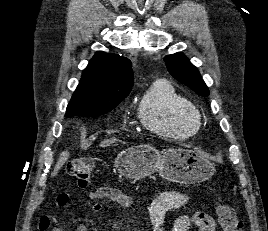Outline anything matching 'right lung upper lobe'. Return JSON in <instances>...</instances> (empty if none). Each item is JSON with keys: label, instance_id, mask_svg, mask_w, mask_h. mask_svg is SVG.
Masks as SVG:
<instances>
[{"label": "right lung upper lobe", "instance_id": "obj_1", "mask_svg": "<svg viewBox=\"0 0 268 231\" xmlns=\"http://www.w3.org/2000/svg\"><path fill=\"white\" fill-rule=\"evenodd\" d=\"M131 61L123 56L97 52L82 73L70 102L81 105L121 101L132 89Z\"/></svg>", "mask_w": 268, "mask_h": 231}]
</instances>
